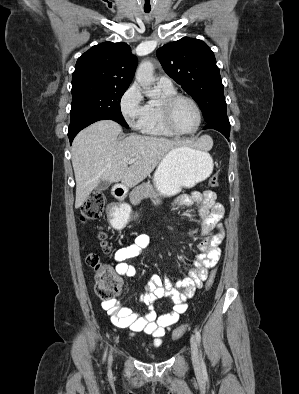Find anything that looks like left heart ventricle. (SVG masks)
Returning <instances> with one entry per match:
<instances>
[{"label":"left heart ventricle","instance_id":"obj_1","mask_svg":"<svg viewBox=\"0 0 299 394\" xmlns=\"http://www.w3.org/2000/svg\"><path fill=\"white\" fill-rule=\"evenodd\" d=\"M197 113L193 105L186 101H179L173 109V122L180 131H191L196 127Z\"/></svg>","mask_w":299,"mask_h":394}]
</instances>
